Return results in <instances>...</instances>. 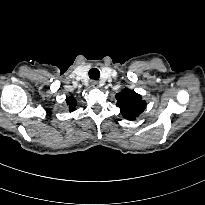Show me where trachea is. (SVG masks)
I'll return each mask as SVG.
<instances>
[{
    "label": "trachea",
    "instance_id": "trachea-1",
    "mask_svg": "<svg viewBox=\"0 0 205 205\" xmlns=\"http://www.w3.org/2000/svg\"><path fill=\"white\" fill-rule=\"evenodd\" d=\"M89 77L93 80H98L100 77V72L97 68H92L89 70Z\"/></svg>",
    "mask_w": 205,
    "mask_h": 205
}]
</instances>
